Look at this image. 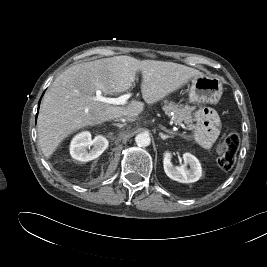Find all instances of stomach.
Masks as SVG:
<instances>
[{
  "label": "stomach",
  "instance_id": "stomach-1",
  "mask_svg": "<svg viewBox=\"0 0 267 267\" xmlns=\"http://www.w3.org/2000/svg\"><path fill=\"white\" fill-rule=\"evenodd\" d=\"M222 92V81L219 77L203 74L192 80L189 102L215 104L220 100Z\"/></svg>",
  "mask_w": 267,
  "mask_h": 267
}]
</instances>
